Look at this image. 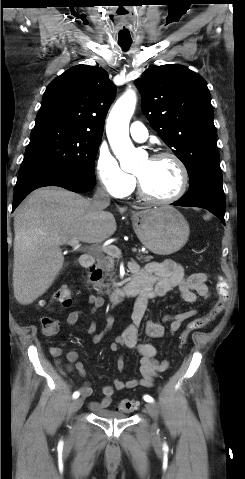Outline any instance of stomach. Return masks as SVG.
I'll use <instances>...</instances> for the list:
<instances>
[{
  "mask_svg": "<svg viewBox=\"0 0 245 479\" xmlns=\"http://www.w3.org/2000/svg\"><path fill=\"white\" fill-rule=\"evenodd\" d=\"M132 224L141 243L156 254H172L188 241L189 224L175 208L161 206L134 212Z\"/></svg>",
  "mask_w": 245,
  "mask_h": 479,
  "instance_id": "1",
  "label": "stomach"
}]
</instances>
